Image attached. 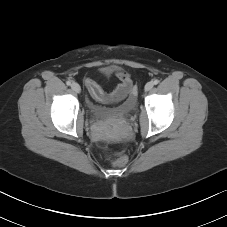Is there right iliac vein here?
Listing matches in <instances>:
<instances>
[{
  "instance_id": "63e3f726",
  "label": "right iliac vein",
  "mask_w": 227,
  "mask_h": 227,
  "mask_svg": "<svg viewBox=\"0 0 227 227\" xmlns=\"http://www.w3.org/2000/svg\"><path fill=\"white\" fill-rule=\"evenodd\" d=\"M71 88H72V90L75 91L76 93H80V91H81L80 85H79L78 83H76V82H72Z\"/></svg>"
}]
</instances>
